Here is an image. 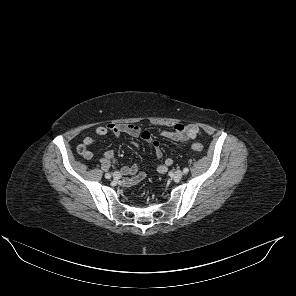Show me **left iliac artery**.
<instances>
[{
  "label": "left iliac artery",
  "mask_w": 296,
  "mask_h": 296,
  "mask_svg": "<svg viewBox=\"0 0 296 296\" xmlns=\"http://www.w3.org/2000/svg\"><path fill=\"white\" fill-rule=\"evenodd\" d=\"M189 172V169L187 168V167H185L184 169H183V173L184 174H187Z\"/></svg>",
  "instance_id": "44dca946"
}]
</instances>
